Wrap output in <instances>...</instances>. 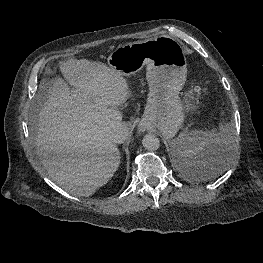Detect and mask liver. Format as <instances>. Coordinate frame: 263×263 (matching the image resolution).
<instances>
[{
  "label": "liver",
  "mask_w": 263,
  "mask_h": 263,
  "mask_svg": "<svg viewBox=\"0 0 263 263\" xmlns=\"http://www.w3.org/2000/svg\"><path fill=\"white\" fill-rule=\"evenodd\" d=\"M60 71L66 82L54 80L39 111L37 154L57 185L88 197L120 165L111 135L123 123L118 106L129 97V87L120 72L97 61L68 59Z\"/></svg>",
  "instance_id": "obj_1"
}]
</instances>
